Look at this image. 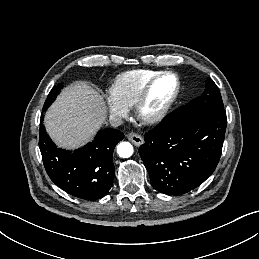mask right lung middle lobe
<instances>
[{
	"label": "right lung middle lobe",
	"instance_id": "1",
	"mask_svg": "<svg viewBox=\"0 0 259 259\" xmlns=\"http://www.w3.org/2000/svg\"><path fill=\"white\" fill-rule=\"evenodd\" d=\"M61 87H62V84H59L52 88V90L50 91V93L44 103L43 110H42L43 112H45L47 110V108L52 104V102L56 99L57 95L60 92Z\"/></svg>",
	"mask_w": 259,
	"mask_h": 259
}]
</instances>
